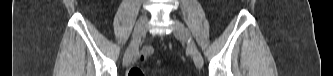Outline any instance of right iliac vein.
Wrapping results in <instances>:
<instances>
[{
	"instance_id": "1",
	"label": "right iliac vein",
	"mask_w": 333,
	"mask_h": 76,
	"mask_svg": "<svg viewBox=\"0 0 333 76\" xmlns=\"http://www.w3.org/2000/svg\"><path fill=\"white\" fill-rule=\"evenodd\" d=\"M148 22V17L146 14H143L137 21L135 27H134V32L132 35V39H131V43L129 48L126 50L125 55H124V65L125 66H129L132 62L133 59V53L134 50L137 46L138 40L140 39V37L142 36V34L145 31L146 25Z\"/></svg>"
}]
</instances>
